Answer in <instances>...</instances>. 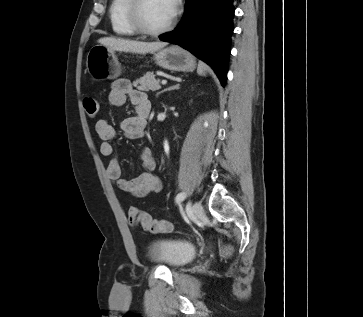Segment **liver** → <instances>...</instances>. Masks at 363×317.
Masks as SVG:
<instances>
[{"instance_id": "liver-1", "label": "liver", "mask_w": 363, "mask_h": 317, "mask_svg": "<svg viewBox=\"0 0 363 317\" xmlns=\"http://www.w3.org/2000/svg\"><path fill=\"white\" fill-rule=\"evenodd\" d=\"M98 43L113 51H123L138 54L154 53L167 45L166 42H142L113 37H103Z\"/></svg>"}]
</instances>
